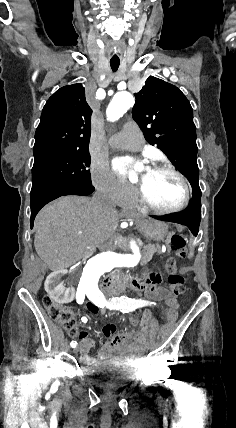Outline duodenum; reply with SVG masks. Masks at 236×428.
<instances>
[{
  "mask_svg": "<svg viewBox=\"0 0 236 428\" xmlns=\"http://www.w3.org/2000/svg\"><path fill=\"white\" fill-rule=\"evenodd\" d=\"M136 279L130 274L122 276H109L102 280L100 292L107 299L119 298L123 292L134 285Z\"/></svg>",
  "mask_w": 236,
  "mask_h": 428,
  "instance_id": "410a0bca",
  "label": "duodenum"
}]
</instances>
